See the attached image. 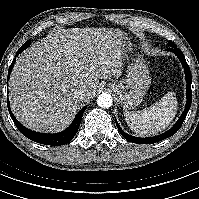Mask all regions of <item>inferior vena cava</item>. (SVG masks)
<instances>
[{
    "mask_svg": "<svg viewBox=\"0 0 199 199\" xmlns=\"http://www.w3.org/2000/svg\"><path fill=\"white\" fill-rule=\"evenodd\" d=\"M73 94H74L75 98L81 99L84 96V90L83 89H76Z\"/></svg>",
    "mask_w": 199,
    "mask_h": 199,
    "instance_id": "602c4592",
    "label": "inferior vena cava"
}]
</instances>
